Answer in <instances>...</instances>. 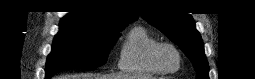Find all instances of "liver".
<instances>
[{"label": "liver", "mask_w": 255, "mask_h": 79, "mask_svg": "<svg viewBox=\"0 0 255 79\" xmlns=\"http://www.w3.org/2000/svg\"><path fill=\"white\" fill-rule=\"evenodd\" d=\"M59 79H152L149 76H127V75H120V74H78L72 76H60Z\"/></svg>", "instance_id": "liver-1"}]
</instances>
